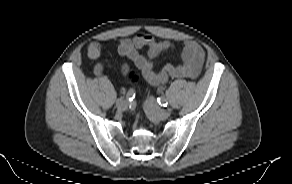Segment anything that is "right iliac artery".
I'll return each instance as SVG.
<instances>
[{
  "instance_id": "right-iliac-artery-1",
  "label": "right iliac artery",
  "mask_w": 292,
  "mask_h": 184,
  "mask_svg": "<svg viewBox=\"0 0 292 184\" xmlns=\"http://www.w3.org/2000/svg\"><path fill=\"white\" fill-rule=\"evenodd\" d=\"M135 97V92L133 89H130L126 95V99L131 101Z\"/></svg>"
}]
</instances>
